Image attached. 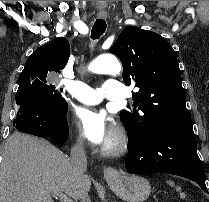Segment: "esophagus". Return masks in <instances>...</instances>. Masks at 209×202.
Returning <instances> with one entry per match:
<instances>
[{"label": "esophagus", "instance_id": "esophagus-1", "mask_svg": "<svg viewBox=\"0 0 209 202\" xmlns=\"http://www.w3.org/2000/svg\"><path fill=\"white\" fill-rule=\"evenodd\" d=\"M97 16L99 19H106L108 14L106 12H99ZM103 174L107 181L113 180L119 175L118 171L111 166L104 167Z\"/></svg>", "mask_w": 209, "mask_h": 202}]
</instances>
